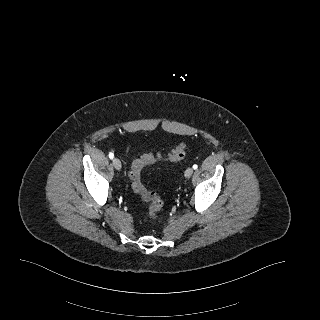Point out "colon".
<instances>
[{"mask_svg":"<svg viewBox=\"0 0 320 320\" xmlns=\"http://www.w3.org/2000/svg\"><path fill=\"white\" fill-rule=\"evenodd\" d=\"M187 145L180 142L174 149L167 154H143L135 159L129 171V177L132 184V189L136 192L147 204L148 215L150 219L155 220L163 208V200L154 190H147L141 182V170L147 166L160 161L177 162L185 157Z\"/></svg>","mask_w":320,"mask_h":320,"instance_id":"colon-1","label":"colon"}]
</instances>
